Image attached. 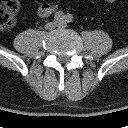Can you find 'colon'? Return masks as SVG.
Instances as JSON below:
<instances>
[{"mask_svg":"<svg viewBox=\"0 0 128 128\" xmlns=\"http://www.w3.org/2000/svg\"><path fill=\"white\" fill-rule=\"evenodd\" d=\"M105 1L112 3L116 0ZM19 7V0H0V30H8L14 25L15 15Z\"/></svg>","mask_w":128,"mask_h":128,"instance_id":"colon-1","label":"colon"}]
</instances>
